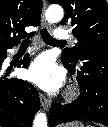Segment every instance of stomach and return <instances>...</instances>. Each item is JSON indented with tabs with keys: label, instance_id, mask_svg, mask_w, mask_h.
Segmentation results:
<instances>
[{
	"label": "stomach",
	"instance_id": "obj_1",
	"mask_svg": "<svg viewBox=\"0 0 108 127\" xmlns=\"http://www.w3.org/2000/svg\"><path fill=\"white\" fill-rule=\"evenodd\" d=\"M60 127H85L84 124L80 121H73L66 124L61 125ZM91 127V126H87Z\"/></svg>",
	"mask_w": 108,
	"mask_h": 127
}]
</instances>
